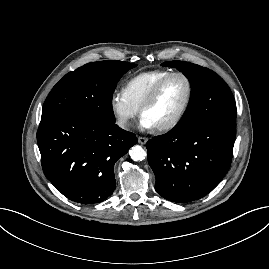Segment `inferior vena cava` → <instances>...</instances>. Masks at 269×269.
I'll return each mask as SVG.
<instances>
[{"mask_svg":"<svg viewBox=\"0 0 269 269\" xmlns=\"http://www.w3.org/2000/svg\"><path fill=\"white\" fill-rule=\"evenodd\" d=\"M118 125L122 128H125L127 126L126 120H119Z\"/></svg>","mask_w":269,"mask_h":269,"instance_id":"obj_1","label":"inferior vena cava"}]
</instances>
